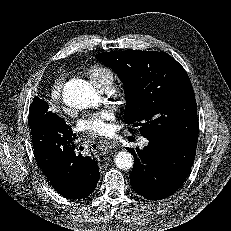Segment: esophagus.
Here are the masks:
<instances>
[{
	"instance_id": "34e87169",
	"label": "esophagus",
	"mask_w": 231,
	"mask_h": 231,
	"mask_svg": "<svg viewBox=\"0 0 231 231\" xmlns=\"http://www.w3.org/2000/svg\"><path fill=\"white\" fill-rule=\"evenodd\" d=\"M100 143L105 148H114V146L116 145L114 141L107 139L102 140Z\"/></svg>"
}]
</instances>
